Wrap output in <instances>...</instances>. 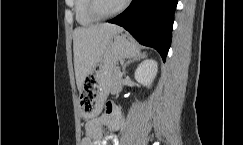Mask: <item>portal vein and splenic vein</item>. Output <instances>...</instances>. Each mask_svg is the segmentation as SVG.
<instances>
[{"instance_id": "portal-vein-and-splenic-vein-1", "label": "portal vein and splenic vein", "mask_w": 243, "mask_h": 145, "mask_svg": "<svg viewBox=\"0 0 243 145\" xmlns=\"http://www.w3.org/2000/svg\"><path fill=\"white\" fill-rule=\"evenodd\" d=\"M119 76L122 77V76H123V73H120V72H119Z\"/></svg>"}]
</instances>
